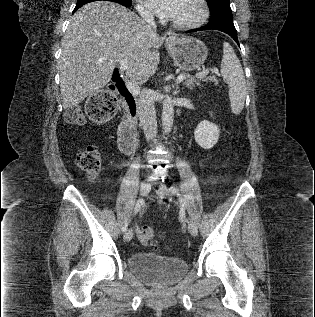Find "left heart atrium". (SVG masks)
<instances>
[{"label": "left heart atrium", "instance_id": "1", "mask_svg": "<svg viewBox=\"0 0 315 317\" xmlns=\"http://www.w3.org/2000/svg\"><path fill=\"white\" fill-rule=\"evenodd\" d=\"M181 0H147L151 9L159 16L172 18Z\"/></svg>", "mask_w": 315, "mask_h": 317}]
</instances>
